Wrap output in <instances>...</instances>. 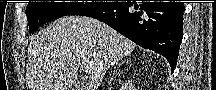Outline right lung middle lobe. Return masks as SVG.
Wrapping results in <instances>:
<instances>
[{
    "instance_id": "1",
    "label": "right lung middle lobe",
    "mask_w": 216,
    "mask_h": 90,
    "mask_svg": "<svg viewBox=\"0 0 216 90\" xmlns=\"http://www.w3.org/2000/svg\"><path fill=\"white\" fill-rule=\"evenodd\" d=\"M102 4L104 3L29 2L26 8L29 32L33 33L44 23L67 15H80L81 13Z\"/></svg>"
}]
</instances>
